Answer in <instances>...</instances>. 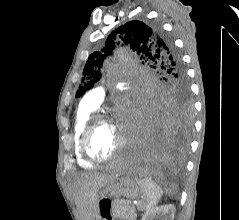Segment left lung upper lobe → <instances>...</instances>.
Segmentation results:
<instances>
[{
    "label": "left lung upper lobe",
    "instance_id": "obj_1",
    "mask_svg": "<svg viewBox=\"0 0 239 220\" xmlns=\"http://www.w3.org/2000/svg\"><path fill=\"white\" fill-rule=\"evenodd\" d=\"M117 40V44L130 46L159 71L163 82L153 96L152 108L171 112L181 126L188 128L193 105L181 59L171 40L157 26H149L141 21H130L114 30L108 36L105 48L89 56L76 97L82 96L100 80V68L107 54L115 48Z\"/></svg>",
    "mask_w": 239,
    "mask_h": 220
}]
</instances>
